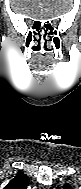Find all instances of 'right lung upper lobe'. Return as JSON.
<instances>
[{"mask_svg": "<svg viewBox=\"0 0 81 189\" xmlns=\"http://www.w3.org/2000/svg\"><path fill=\"white\" fill-rule=\"evenodd\" d=\"M28 180V177L19 171L15 178L11 180L3 189H26Z\"/></svg>", "mask_w": 81, "mask_h": 189, "instance_id": "obj_1", "label": "right lung upper lobe"}]
</instances>
